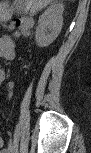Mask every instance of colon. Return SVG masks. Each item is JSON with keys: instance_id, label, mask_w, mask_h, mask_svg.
Here are the masks:
<instances>
[{"instance_id": "1", "label": "colon", "mask_w": 91, "mask_h": 153, "mask_svg": "<svg viewBox=\"0 0 91 153\" xmlns=\"http://www.w3.org/2000/svg\"><path fill=\"white\" fill-rule=\"evenodd\" d=\"M33 25V21L31 18H25L22 20L17 21V27L21 30L27 31L29 30ZM1 45H9L12 43V38L10 36H3L0 40Z\"/></svg>"}]
</instances>
